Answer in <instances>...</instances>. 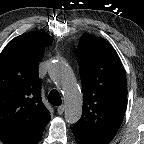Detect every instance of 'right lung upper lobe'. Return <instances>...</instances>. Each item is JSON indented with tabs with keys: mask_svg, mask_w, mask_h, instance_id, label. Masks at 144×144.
Returning <instances> with one entry per match:
<instances>
[{
	"mask_svg": "<svg viewBox=\"0 0 144 144\" xmlns=\"http://www.w3.org/2000/svg\"><path fill=\"white\" fill-rule=\"evenodd\" d=\"M52 40L45 32L24 33L0 54V139L4 144H37L50 120L41 100L38 63Z\"/></svg>",
	"mask_w": 144,
	"mask_h": 144,
	"instance_id": "cb5924a9",
	"label": "right lung upper lobe"
}]
</instances>
